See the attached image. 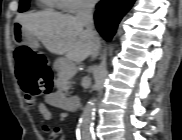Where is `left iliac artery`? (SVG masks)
Listing matches in <instances>:
<instances>
[{"label":"left iliac artery","mask_w":182,"mask_h":140,"mask_svg":"<svg viewBox=\"0 0 182 140\" xmlns=\"http://www.w3.org/2000/svg\"><path fill=\"white\" fill-rule=\"evenodd\" d=\"M93 140H95V136H93Z\"/></svg>","instance_id":"obj_1"}]
</instances>
